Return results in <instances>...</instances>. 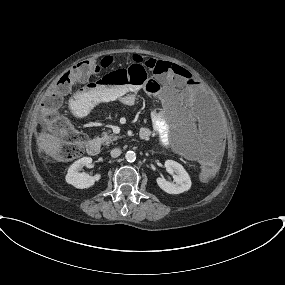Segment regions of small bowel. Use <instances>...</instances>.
Returning a JSON list of instances; mask_svg holds the SVG:
<instances>
[{"mask_svg":"<svg viewBox=\"0 0 285 285\" xmlns=\"http://www.w3.org/2000/svg\"><path fill=\"white\" fill-rule=\"evenodd\" d=\"M186 78H179L174 85L179 88L184 87ZM159 85V83L157 82ZM141 86L134 85H111L104 86L98 82L91 81L84 84L80 89L73 93L69 98V108L75 113H83L93 104L105 103L119 100L126 106H132L136 102V94L141 90ZM157 103L158 109L152 114V128L143 127L139 132V137L146 140L155 134L158 141L163 146H169L171 137L169 135V123L178 125L183 119L188 117L190 108L184 105L181 98L165 96L158 91ZM168 113V117L165 113ZM192 144L191 155H199L198 150L193 143V138H187ZM199 140L205 147L202 158L208 162H215L223 146L222 139L211 130H199ZM217 164V163H216Z\"/></svg>","mask_w":285,"mask_h":285,"instance_id":"obj_1","label":"small bowel"}]
</instances>
